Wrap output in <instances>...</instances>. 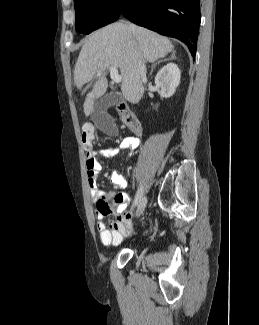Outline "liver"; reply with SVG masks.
<instances>
[{
    "label": "liver",
    "mask_w": 259,
    "mask_h": 325,
    "mask_svg": "<svg viewBox=\"0 0 259 325\" xmlns=\"http://www.w3.org/2000/svg\"><path fill=\"white\" fill-rule=\"evenodd\" d=\"M173 49L168 38L143 27H135L133 32L123 22L109 24L90 34L82 46L74 69V82L78 89L98 72L101 73L83 104L85 116L92 113L95 100L107 90L105 72L108 68H119L123 97L131 103H137L144 94L138 70L139 57L144 62L153 63Z\"/></svg>",
    "instance_id": "obj_1"
}]
</instances>
